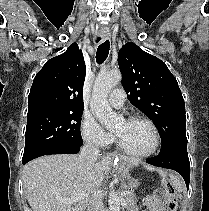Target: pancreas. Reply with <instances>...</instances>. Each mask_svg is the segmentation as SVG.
<instances>
[{
    "mask_svg": "<svg viewBox=\"0 0 209 211\" xmlns=\"http://www.w3.org/2000/svg\"><path fill=\"white\" fill-rule=\"evenodd\" d=\"M123 200L126 203V211H138L136 196L132 191H127L126 195L123 197Z\"/></svg>",
    "mask_w": 209,
    "mask_h": 211,
    "instance_id": "cf45deb5",
    "label": "pancreas"
}]
</instances>
